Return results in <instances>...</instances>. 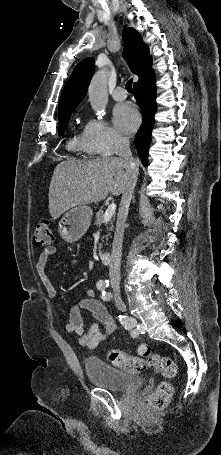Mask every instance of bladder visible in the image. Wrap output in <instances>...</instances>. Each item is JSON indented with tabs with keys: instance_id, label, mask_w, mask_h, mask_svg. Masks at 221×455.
I'll return each mask as SVG.
<instances>
[{
	"instance_id": "obj_1",
	"label": "bladder",
	"mask_w": 221,
	"mask_h": 455,
	"mask_svg": "<svg viewBox=\"0 0 221 455\" xmlns=\"http://www.w3.org/2000/svg\"><path fill=\"white\" fill-rule=\"evenodd\" d=\"M84 368L88 378L94 384L111 391L137 390L144 384V379L141 376L125 373L99 360L86 359Z\"/></svg>"
}]
</instances>
